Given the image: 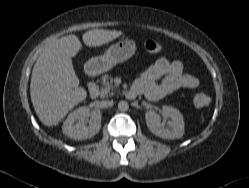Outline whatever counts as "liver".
Here are the masks:
<instances>
[{"mask_svg":"<svg viewBox=\"0 0 249 188\" xmlns=\"http://www.w3.org/2000/svg\"><path fill=\"white\" fill-rule=\"evenodd\" d=\"M123 34L122 31L95 29L83 34L85 45L96 47ZM82 49L76 35L49 43L38 57L31 76L30 96L34 110L46 126H56L66 114L87 97L79 87L71 58Z\"/></svg>","mask_w":249,"mask_h":188,"instance_id":"6515ba94","label":"liver"}]
</instances>
